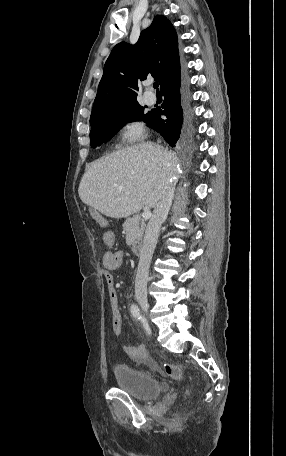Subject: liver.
<instances>
[{
	"label": "liver",
	"mask_w": 286,
	"mask_h": 456,
	"mask_svg": "<svg viewBox=\"0 0 286 456\" xmlns=\"http://www.w3.org/2000/svg\"><path fill=\"white\" fill-rule=\"evenodd\" d=\"M178 174L177 157L152 142L94 161L84 173L79 197L105 216L123 218L155 207L162 187Z\"/></svg>",
	"instance_id": "6515ba94"
}]
</instances>
